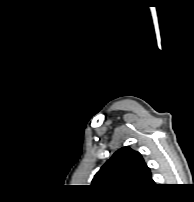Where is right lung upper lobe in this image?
Instances as JSON below:
<instances>
[{"label":"right lung upper lobe","instance_id":"1","mask_svg":"<svg viewBox=\"0 0 194 202\" xmlns=\"http://www.w3.org/2000/svg\"><path fill=\"white\" fill-rule=\"evenodd\" d=\"M92 185L104 192L128 194L146 191L155 183L141 154L123 147L100 168Z\"/></svg>","mask_w":194,"mask_h":202}]
</instances>
